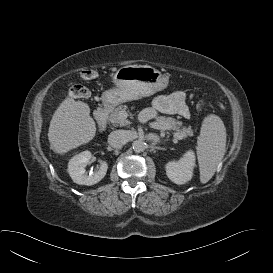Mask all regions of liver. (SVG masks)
<instances>
[{"label":"liver","instance_id":"1","mask_svg":"<svg viewBox=\"0 0 273 273\" xmlns=\"http://www.w3.org/2000/svg\"><path fill=\"white\" fill-rule=\"evenodd\" d=\"M95 134L96 125L88 104L66 98L52 116L48 140L54 152L64 154L88 143Z\"/></svg>","mask_w":273,"mask_h":273}]
</instances>
